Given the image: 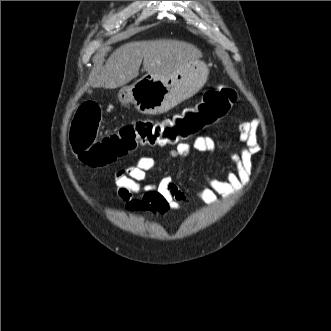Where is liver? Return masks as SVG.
Masks as SVG:
<instances>
[{
  "instance_id": "6515ba94",
  "label": "liver",
  "mask_w": 331,
  "mask_h": 331,
  "mask_svg": "<svg viewBox=\"0 0 331 331\" xmlns=\"http://www.w3.org/2000/svg\"><path fill=\"white\" fill-rule=\"evenodd\" d=\"M194 45L178 40L159 39L129 42L116 49L93 78L94 87L115 89L126 85L143 68L148 74L166 77L201 57Z\"/></svg>"
}]
</instances>
